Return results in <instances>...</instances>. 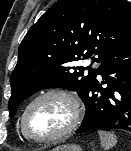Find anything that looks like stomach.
Instances as JSON below:
<instances>
[{"mask_svg": "<svg viewBox=\"0 0 131 151\" xmlns=\"http://www.w3.org/2000/svg\"><path fill=\"white\" fill-rule=\"evenodd\" d=\"M51 151H82L81 146L76 144H66L53 148Z\"/></svg>", "mask_w": 131, "mask_h": 151, "instance_id": "stomach-1", "label": "stomach"}]
</instances>
